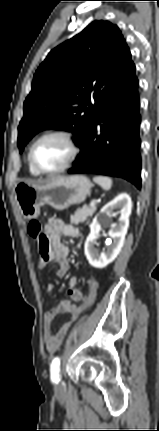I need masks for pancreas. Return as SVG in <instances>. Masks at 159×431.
<instances>
[{
	"label": "pancreas",
	"instance_id": "pancreas-1",
	"mask_svg": "<svg viewBox=\"0 0 159 431\" xmlns=\"http://www.w3.org/2000/svg\"><path fill=\"white\" fill-rule=\"evenodd\" d=\"M95 211H96V206L95 207L83 206L82 208H79L74 215H71L70 222L75 225L83 223L87 220L88 217H91Z\"/></svg>",
	"mask_w": 159,
	"mask_h": 431
}]
</instances>
